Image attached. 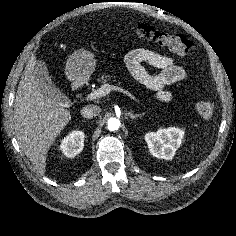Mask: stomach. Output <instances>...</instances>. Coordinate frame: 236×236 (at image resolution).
<instances>
[{
	"label": "stomach",
	"instance_id": "1",
	"mask_svg": "<svg viewBox=\"0 0 236 236\" xmlns=\"http://www.w3.org/2000/svg\"><path fill=\"white\" fill-rule=\"evenodd\" d=\"M94 55L84 49L74 52L66 63V75L71 81H84L94 72Z\"/></svg>",
	"mask_w": 236,
	"mask_h": 236
}]
</instances>
